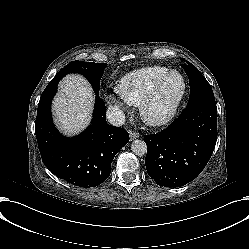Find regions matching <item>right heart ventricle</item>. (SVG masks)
<instances>
[{
	"instance_id": "obj_1",
	"label": "right heart ventricle",
	"mask_w": 249,
	"mask_h": 249,
	"mask_svg": "<svg viewBox=\"0 0 249 249\" xmlns=\"http://www.w3.org/2000/svg\"><path fill=\"white\" fill-rule=\"evenodd\" d=\"M167 73L168 69L161 66L134 70L119 83L117 92L131 105L139 106Z\"/></svg>"
}]
</instances>
